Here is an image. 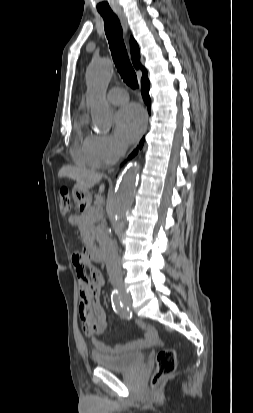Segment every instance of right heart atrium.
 I'll return each mask as SVG.
<instances>
[{
    "label": "right heart atrium",
    "mask_w": 253,
    "mask_h": 413,
    "mask_svg": "<svg viewBox=\"0 0 253 413\" xmlns=\"http://www.w3.org/2000/svg\"><path fill=\"white\" fill-rule=\"evenodd\" d=\"M95 146L105 164L115 162L124 152V147L111 135H96Z\"/></svg>",
    "instance_id": "obj_1"
}]
</instances>
